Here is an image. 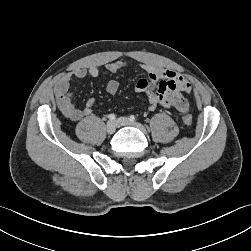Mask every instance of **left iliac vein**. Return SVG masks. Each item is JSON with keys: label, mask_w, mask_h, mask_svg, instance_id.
I'll return each mask as SVG.
<instances>
[{"label": "left iliac vein", "mask_w": 251, "mask_h": 251, "mask_svg": "<svg viewBox=\"0 0 251 251\" xmlns=\"http://www.w3.org/2000/svg\"><path fill=\"white\" fill-rule=\"evenodd\" d=\"M116 124L119 125V126H132V127H136L139 130H141L143 133H146V129H145V127L142 124L135 123V122L129 120L128 118H126V117H120L116 121Z\"/></svg>", "instance_id": "left-iliac-vein-1"}]
</instances>
